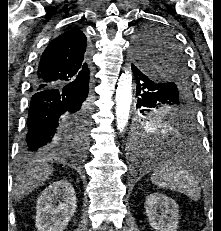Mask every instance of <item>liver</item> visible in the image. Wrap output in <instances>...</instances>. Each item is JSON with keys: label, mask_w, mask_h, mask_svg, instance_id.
Returning <instances> with one entry per match:
<instances>
[{"label": "liver", "mask_w": 221, "mask_h": 231, "mask_svg": "<svg viewBox=\"0 0 221 231\" xmlns=\"http://www.w3.org/2000/svg\"><path fill=\"white\" fill-rule=\"evenodd\" d=\"M45 160L46 158H40L39 162L42 161L41 163L31 166L17 176L13 187L16 201L31 193L52 175L53 168Z\"/></svg>", "instance_id": "6515ba94"}]
</instances>
